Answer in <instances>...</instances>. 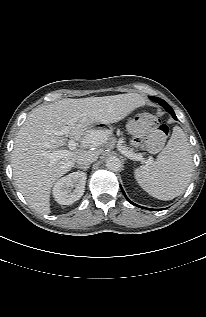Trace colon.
I'll use <instances>...</instances> for the list:
<instances>
[{"label": "colon", "instance_id": "1", "mask_svg": "<svg viewBox=\"0 0 206 317\" xmlns=\"http://www.w3.org/2000/svg\"><path fill=\"white\" fill-rule=\"evenodd\" d=\"M137 123L151 132L146 141L147 147L152 151L158 150L168 136V126L160 123L155 116L146 112L138 115Z\"/></svg>", "mask_w": 206, "mask_h": 317}]
</instances>
